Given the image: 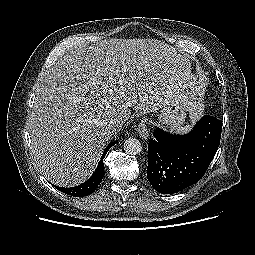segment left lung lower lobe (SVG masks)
<instances>
[{
	"instance_id": "0a47b994",
	"label": "left lung lower lobe",
	"mask_w": 255,
	"mask_h": 255,
	"mask_svg": "<svg viewBox=\"0 0 255 255\" xmlns=\"http://www.w3.org/2000/svg\"><path fill=\"white\" fill-rule=\"evenodd\" d=\"M222 122L203 116L186 135H173L157 128L148 143L147 177L153 188L165 194L179 192L205 174L221 138Z\"/></svg>"
}]
</instances>
